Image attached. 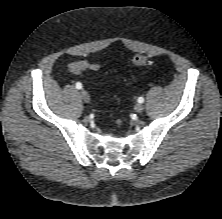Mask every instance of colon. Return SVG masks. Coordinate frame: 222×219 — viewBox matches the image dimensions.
I'll return each instance as SVG.
<instances>
[{
	"mask_svg": "<svg viewBox=\"0 0 222 219\" xmlns=\"http://www.w3.org/2000/svg\"><path fill=\"white\" fill-rule=\"evenodd\" d=\"M149 63V59L148 57H146L145 55H136L134 58H133V64L135 66H144L146 64ZM95 69L98 70L99 69V66L96 65L95 66Z\"/></svg>",
	"mask_w": 222,
	"mask_h": 219,
	"instance_id": "5ec220e1",
	"label": "colon"
}]
</instances>
